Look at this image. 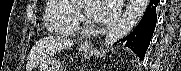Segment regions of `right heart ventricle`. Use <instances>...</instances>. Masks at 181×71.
<instances>
[{
    "label": "right heart ventricle",
    "mask_w": 181,
    "mask_h": 71,
    "mask_svg": "<svg viewBox=\"0 0 181 71\" xmlns=\"http://www.w3.org/2000/svg\"><path fill=\"white\" fill-rule=\"evenodd\" d=\"M68 0H46L44 6V22L46 27L55 33L75 36L79 31V12Z\"/></svg>",
    "instance_id": "right-heart-ventricle-1"
}]
</instances>
